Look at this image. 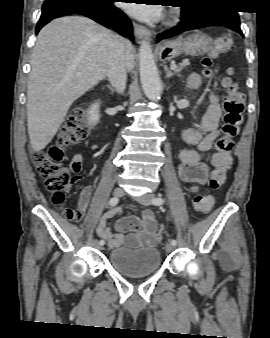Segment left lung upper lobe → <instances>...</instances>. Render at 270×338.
<instances>
[{
  "label": "left lung upper lobe",
  "mask_w": 270,
  "mask_h": 338,
  "mask_svg": "<svg viewBox=\"0 0 270 338\" xmlns=\"http://www.w3.org/2000/svg\"><path fill=\"white\" fill-rule=\"evenodd\" d=\"M229 0H181L182 13L185 17L194 16L213 6L226 4Z\"/></svg>",
  "instance_id": "left-lung-upper-lobe-1"
}]
</instances>
